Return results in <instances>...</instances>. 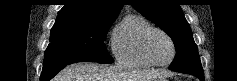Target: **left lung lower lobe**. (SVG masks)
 Listing matches in <instances>:
<instances>
[{
  "mask_svg": "<svg viewBox=\"0 0 237 81\" xmlns=\"http://www.w3.org/2000/svg\"><path fill=\"white\" fill-rule=\"evenodd\" d=\"M196 76L198 79H200V81H204V74H191Z\"/></svg>",
  "mask_w": 237,
  "mask_h": 81,
  "instance_id": "left-lung-lower-lobe-1",
  "label": "left lung lower lobe"
}]
</instances>
